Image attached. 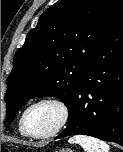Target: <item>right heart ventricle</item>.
Masks as SVG:
<instances>
[{
  "mask_svg": "<svg viewBox=\"0 0 123 152\" xmlns=\"http://www.w3.org/2000/svg\"><path fill=\"white\" fill-rule=\"evenodd\" d=\"M18 128H19V132H20L21 135L27 136V135L24 133L23 129H22V126H21V119H20V121H19Z\"/></svg>",
  "mask_w": 123,
  "mask_h": 152,
  "instance_id": "right-heart-ventricle-1",
  "label": "right heart ventricle"
}]
</instances>
